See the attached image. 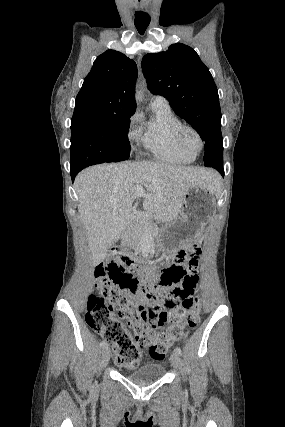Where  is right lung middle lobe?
<instances>
[{"instance_id": "right-lung-middle-lobe-1", "label": "right lung middle lobe", "mask_w": 285, "mask_h": 427, "mask_svg": "<svg viewBox=\"0 0 285 427\" xmlns=\"http://www.w3.org/2000/svg\"><path fill=\"white\" fill-rule=\"evenodd\" d=\"M130 116H110L71 122L70 170L129 158Z\"/></svg>"}]
</instances>
